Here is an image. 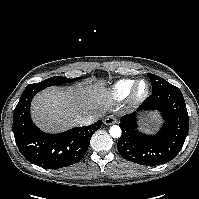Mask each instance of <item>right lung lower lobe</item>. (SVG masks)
I'll list each match as a JSON object with an SVG mask.
<instances>
[{
  "mask_svg": "<svg viewBox=\"0 0 199 199\" xmlns=\"http://www.w3.org/2000/svg\"><path fill=\"white\" fill-rule=\"evenodd\" d=\"M37 92L25 89L14 110L13 133L19 151L31 163L47 169L78 162L85 155L90 139L101 127L102 121L59 134L44 133L30 117L31 100Z\"/></svg>",
  "mask_w": 199,
  "mask_h": 199,
  "instance_id": "98d812e1",
  "label": "right lung lower lobe"
}]
</instances>
